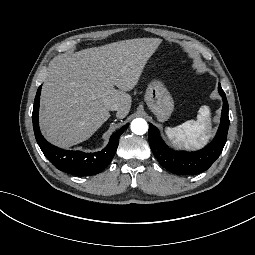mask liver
<instances>
[{
    "instance_id": "1",
    "label": "liver",
    "mask_w": 255,
    "mask_h": 255,
    "mask_svg": "<svg viewBox=\"0 0 255 255\" xmlns=\"http://www.w3.org/2000/svg\"><path fill=\"white\" fill-rule=\"evenodd\" d=\"M161 44V39H131L52 61L41 97L47 138L62 147L88 140L110 118L113 103L119 104L116 117L125 118L132 104L126 92L139 83Z\"/></svg>"
}]
</instances>
